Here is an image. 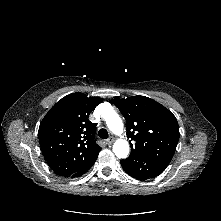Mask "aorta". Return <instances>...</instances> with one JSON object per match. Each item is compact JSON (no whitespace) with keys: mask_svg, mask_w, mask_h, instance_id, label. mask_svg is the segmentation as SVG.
<instances>
[{"mask_svg":"<svg viewBox=\"0 0 221 221\" xmlns=\"http://www.w3.org/2000/svg\"><path fill=\"white\" fill-rule=\"evenodd\" d=\"M105 122L112 133L116 135H121L123 133L124 125L122 119L116 112L110 111L105 116ZM113 152L120 159L126 158L129 154L128 142L124 139H117L113 145Z\"/></svg>","mask_w":221,"mask_h":221,"instance_id":"762f6f07","label":"aorta"}]
</instances>
